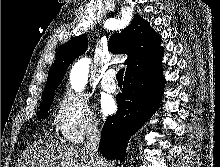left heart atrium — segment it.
I'll return each mask as SVG.
<instances>
[{"label": "left heart atrium", "instance_id": "1", "mask_svg": "<svg viewBox=\"0 0 220 167\" xmlns=\"http://www.w3.org/2000/svg\"><path fill=\"white\" fill-rule=\"evenodd\" d=\"M115 110V101L110 96H104L100 101V111L103 116L112 114Z\"/></svg>", "mask_w": 220, "mask_h": 167}]
</instances>
